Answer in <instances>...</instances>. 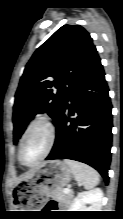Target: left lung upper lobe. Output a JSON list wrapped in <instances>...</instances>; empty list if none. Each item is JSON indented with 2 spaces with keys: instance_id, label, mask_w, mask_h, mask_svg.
<instances>
[{
  "instance_id": "1",
  "label": "left lung upper lobe",
  "mask_w": 123,
  "mask_h": 219,
  "mask_svg": "<svg viewBox=\"0 0 123 219\" xmlns=\"http://www.w3.org/2000/svg\"><path fill=\"white\" fill-rule=\"evenodd\" d=\"M97 56L92 38L80 25L62 26L34 52L15 94V144L37 113L47 112L57 122L74 82Z\"/></svg>"
}]
</instances>
